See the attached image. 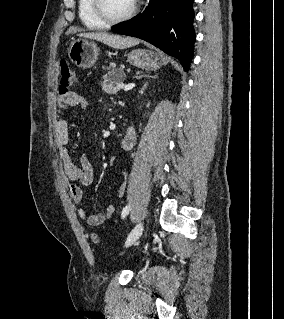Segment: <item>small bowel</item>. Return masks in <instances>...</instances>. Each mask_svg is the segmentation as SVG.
Listing matches in <instances>:
<instances>
[{"instance_id":"small-bowel-1","label":"small bowel","mask_w":284,"mask_h":319,"mask_svg":"<svg viewBox=\"0 0 284 319\" xmlns=\"http://www.w3.org/2000/svg\"><path fill=\"white\" fill-rule=\"evenodd\" d=\"M85 99L77 92L70 91L67 94L60 95L56 100L58 109L66 110L70 107H84ZM54 135L56 143L61 147L60 155L63 162L65 174L70 182V194L77 207L78 216L91 226L102 225L106 220L113 217L115 207L109 205L105 212L88 214L82 206L83 187L92 183L94 177V168L86 155H81L79 165H76L66 148L69 142V129L66 120L57 116L54 122ZM126 185L122 183L118 188V196L122 197L125 193Z\"/></svg>"}]
</instances>
